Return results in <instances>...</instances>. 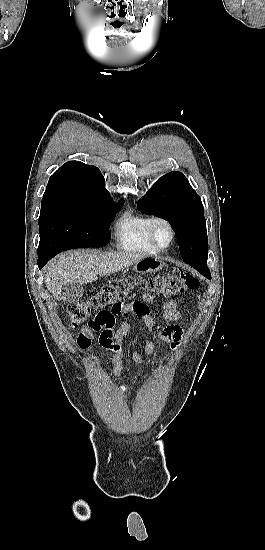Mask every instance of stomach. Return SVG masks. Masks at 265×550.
Returning <instances> with one entry per match:
<instances>
[{"label": "stomach", "mask_w": 265, "mask_h": 550, "mask_svg": "<svg viewBox=\"0 0 265 550\" xmlns=\"http://www.w3.org/2000/svg\"><path fill=\"white\" fill-rule=\"evenodd\" d=\"M164 262L157 257H145L134 264V271L140 274L153 273L162 269Z\"/></svg>", "instance_id": "0dacf381"}]
</instances>
